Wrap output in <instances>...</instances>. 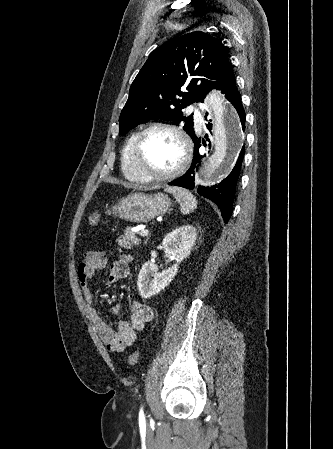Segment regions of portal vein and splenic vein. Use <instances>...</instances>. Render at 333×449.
I'll return each instance as SVG.
<instances>
[{
	"label": "portal vein and splenic vein",
	"instance_id": "18ae733b",
	"mask_svg": "<svg viewBox=\"0 0 333 449\" xmlns=\"http://www.w3.org/2000/svg\"><path fill=\"white\" fill-rule=\"evenodd\" d=\"M149 234V231L148 230H141L140 232H139V235L140 236H147Z\"/></svg>",
	"mask_w": 333,
	"mask_h": 449
}]
</instances>
